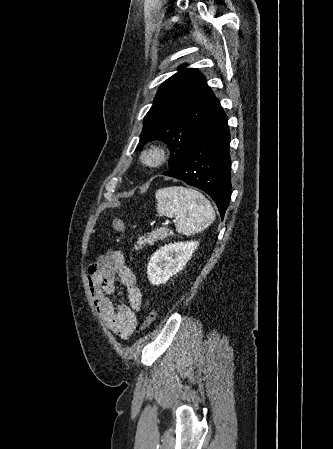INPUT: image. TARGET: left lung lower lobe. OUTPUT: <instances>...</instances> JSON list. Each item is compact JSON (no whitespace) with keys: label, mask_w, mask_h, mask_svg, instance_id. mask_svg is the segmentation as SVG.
Returning a JSON list of instances; mask_svg holds the SVG:
<instances>
[{"label":"left lung lower lobe","mask_w":333,"mask_h":449,"mask_svg":"<svg viewBox=\"0 0 333 449\" xmlns=\"http://www.w3.org/2000/svg\"><path fill=\"white\" fill-rule=\"evenodd\" d=\"M220 102L209 112L197 131L182 164L163 175L180 179L206 192L223 219L230 201V132Z\"/></svg>","instance_id":"left-lung-lower-lobe-1"}]
</instances>
